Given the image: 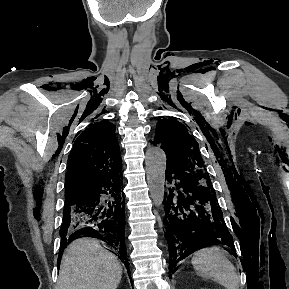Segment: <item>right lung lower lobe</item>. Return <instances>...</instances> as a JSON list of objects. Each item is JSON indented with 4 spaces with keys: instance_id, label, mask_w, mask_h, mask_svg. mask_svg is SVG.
I'll return each instance as SVG.
<instances>
[{
    "instance_id": "right-lung-lower-lobe-1",
    "label": "right lung lower lobe",
    "mask_w": 289,
    "mask_h": 289,
    "mask_svg": "<svg viewBox=\"0 0 289 289\" xmlns=\"http://www.w3.org/2000/svg\"><path fill=\"white\" fill-rule=\"evenodd\" d=\"M122 173L116 178H105L88 190L66 195L63 222L60 228V264L64 248L75 238L93 237L104 241L127 267L124 241L125 211L122 193Z\"/></svg>"
}]
</instances>
